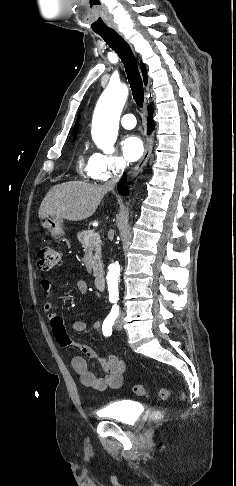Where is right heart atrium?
<instances>
[{"label": "right heart atrium", "instance_id": "1", "mask_svg": "<svg viewBox=\"0 0 236 486\" xmlns=\"http://www.w3.org/2000/svg\"><path fill=\"white\" fill-rule=\"evenodd\" d=\"M124 160L114 154L95 152L90 158V176L97 181H106L122 173Z\"/></svg>", "mask_w": 236, "mask_h": 486}]
</instances>
